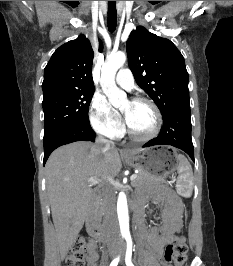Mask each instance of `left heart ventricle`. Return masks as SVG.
<instances>
[{
	"label": "left heart ventricle",
	"instance_id": "left-heart-ventricle-1",
	"mask_svg": "<svg viewBox=\"0 0 233 266\" xmlns=\"http://www.w3.org/2000/svg\"><path fill=\"white\" fill-rule=\"evenodd\" d=\"M120 109L134 133L146 135L151 132L155 124V114L148 104L126 100Z\"/></svg>",
	"mask_w": 233,
	"mask_h": 266
}]
</instances>
